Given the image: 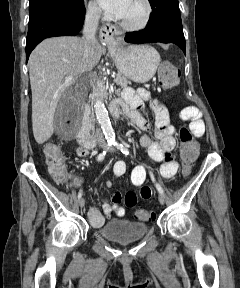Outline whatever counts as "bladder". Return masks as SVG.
Segmentation results:
<instances>
[{
  "label": "bladder",
  "mask_w": 240,
  "mask_h": 288,
  "mask_svg": "<svg viewBox=\"0 0 240 288\" xmlns=\"http://www.w3.org/2000/svg\"><path fill=\"white\" fill-rule=\"evenodd\" d=\"M148 226L126 219H114L98 229L99 234L111 241L130 242L143 238L148 233Z\"/></svg>",
  "instance_id": "31cf9c89"
}]
</instances>
